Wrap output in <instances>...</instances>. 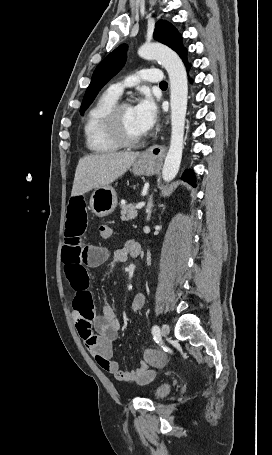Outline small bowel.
Wrapping results in <instances>:
<instances>
[{
    "label": "small bowel",
    "mask_w": 272,
    "mask_h": 455,
    "mask_svg": "<svg viewBox=\"0 0 272 455\" xmlns=\"http://www.w3.org/2000/svg\"><path fill=\"white\" fill-rule=\"evenodd\" d=\"M87 225V213L81 197L72 199L68 205L67 219L62 248V261L65 275L73 291L72 317L76 330L87 350L98 365L106 372L123 382L146 383L154 377V372L141 361L133 370H122L113 359V341L117 338L121 322L114 307L106 303L102 313L95 315L92 293L89 289V269L104 263L110 255L105 247L86 245L84 233ZM140 245L135 240H128L122 248L113 252L108 272L128 256L136 257ZM145 304V295L141 292L132 299V310L140 311Z\"/></svg>",
    "instance_id": "c3829d8e"
}]
</instances>
